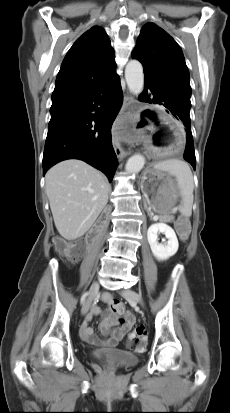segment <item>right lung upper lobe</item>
I'll return each instance as SVG.
<instances>
[{
    "label": "right lung upper lobe",
    "mask_w": 230,
    "mask_h": 413,
    "mask_svg": "<svg viewBox=\"0 0 230 413\" xmlns=\"http://www.w3.org/2000/svg\"><path fill=\"white\" fill-rule=\"evenodd\" d=\"M110 40L99 26L80 36L66 54L56 78L52 100L76 96L108 81L115 74Z\"/></svg>",
    "instance_id": "obj_1"
}]
</instances>
